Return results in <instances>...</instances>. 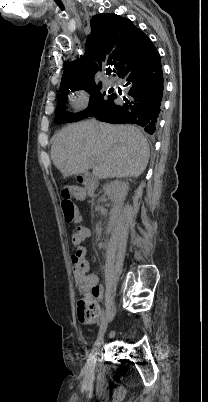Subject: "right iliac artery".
Returning <instances> with one entry per match:
<instances>
[{"mask_svg": "<svg viewBox=\"0 0 208 402\" xmlns=\"http://www.w3.org/2000/svg\"><path fill=\"white\" fill-rule=\"evenodd\" d=\"M104 320H105V313L103 312L101 317H100L101 324L103 323Z\"/></svg>", "mask_w": 208, "mask_h": 402, "instance_id": "82829eb1", "label": "right iliac artery"}]
</instances>
